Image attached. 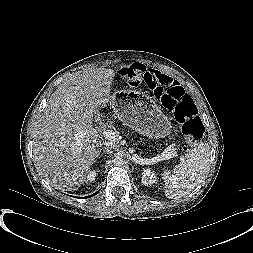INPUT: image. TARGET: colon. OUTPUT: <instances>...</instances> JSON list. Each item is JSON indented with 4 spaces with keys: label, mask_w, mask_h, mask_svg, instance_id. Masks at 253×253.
Wrapping results in <instances>:
<instances>
[{
    "label": "colon",
    "mask_w": 253,
    "mask_h": 253,
    "mask_svg": "<svg viewBox=\"0 0 253 253\" xmlns=\"http://www.w3.org/2000/svg\"><path fill=\"white\" fill-rule=\"evenodd\" d=\"M146 68L140 64L123 66L119 76L129 84L139 85ZM155 98L182 124V131L188 143H198L204 135V125L197 115L196 105L191 96L178 85L154 90Z\"/></svg>",
    "instance_id": "colon-1"
}]
</instances>
